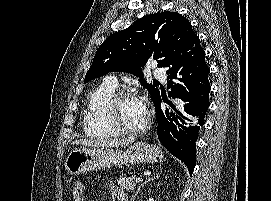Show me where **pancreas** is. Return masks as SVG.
Here are the masks:
<instances>
[{
    "label": "pancreas",
    "mask_w": 271,
    "mask_h": 201,
    "mask_svg": "<svg viewBox=\"0 0 271 201\" xmlns=\"http://www.w3.org/2000/svg\"><path fill=\"white\" fill-rule=\"evenodd\" d=\"M116 182L122 190L132 191L136 187L133 176L127 177L126 175H122Z\"/></svg>",
    "instance_id": "1"
}]
</instances>
